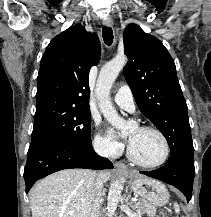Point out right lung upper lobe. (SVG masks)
Masks as SVG:
<instances>
[{
    "label": "right lung upper lobe",
    "instance_id": "1",
    "mask_svg": "<svg viewBox=\"0 0 211 217\" xmlns=\"http://www.w3.org/2000/svg\"><path fill=\"white\" fill-rule=\"evenodd\" d=\"M100 60V42L80 24L46 48L38 74L35 118L63 111H90L89 71Z\"/></svg>",
    "mask_w": 211,
    "mask_h": 217
}]
</instances>
